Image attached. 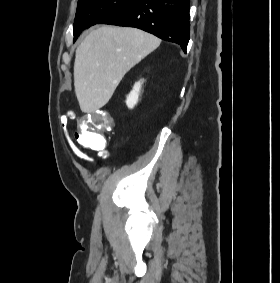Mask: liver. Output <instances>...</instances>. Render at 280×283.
Masks as SVG:
<instances>
[{
  "label": "liver",
  "mask_w": 280,
  "mask_h": 283,
  "mask_svg": "<svg viewBox=\"0 0 280 283\" xmlns=\"http://www.w3.org/2000/svg\"><path fill=\"white\" fill-rule=\"evenodd\" d=\"M160 45L136 28L103 25L76 49L74 87L80 109L93 113L108 103L124 75Z\"/></svg>",
  "instance_id": "6515ba94"
}]
</instances>
